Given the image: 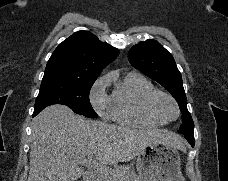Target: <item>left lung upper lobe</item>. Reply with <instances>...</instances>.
<instances>
[{
    "label": "left lung upper lobe",
    "instance_id": "5c2ea615",
    "mask_svg": "<svg viewBox=\"0 0 228 181\" xmlns=\"http://www.w3.org/2000/svg\"><path fill=\"white\" fill-rule=\"evenodd\" d=\"M128 59L133 67L165 87L177 100L183 122L178 132H194L182 77L173 56L157 41L149 39L133 46L128 52Z\"/></svg>",
    "mask_w": 228,
    "mask_h": 181
}]
</instances>
